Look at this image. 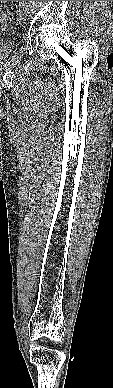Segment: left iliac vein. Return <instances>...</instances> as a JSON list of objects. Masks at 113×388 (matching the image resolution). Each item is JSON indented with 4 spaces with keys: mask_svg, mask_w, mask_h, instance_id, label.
Returning <instances> with one entry per match:
<instances>
[{
    "mask_svg": "<svg viewBox=\"0 0 113 388\" xmlns=\"http://www.w3.org/2000/svg\"><path fill=\"white\" fill-rule=\"evenodd\" d=\"M28 17V11L21 6V8L18 10V19L20 21H26Z\"/></svg>",
    "mask_w": 113,
    "mask_h": 388,
    "instance_id": "1",
    "label": "left iliac vein"
}]
</instances>
